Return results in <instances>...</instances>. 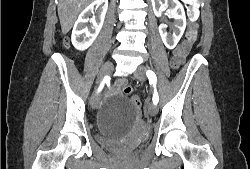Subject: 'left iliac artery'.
<instances>
[{
  "label": "left iliac artery",
  "instance_id": "1",
  "mask_svg": "<svg viewBox=\"0 0 250 169\" xmlns=\"http://www.w3.org/2000/svg\"><path fill=\"white\" fill-rule=\"evenodd\" d=\"M146 75H147V77L149 79V83L153 84V86H154V94H153V99L152 100H153L154 104H157L158 101H159V96H158V93H157V90H156L157 77H156L155 73L152 70H148L146 72Z\"/></svg>",
  "mask_w": 250,
  "mask_h": 169
}]
</instances>
